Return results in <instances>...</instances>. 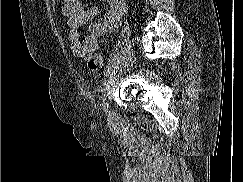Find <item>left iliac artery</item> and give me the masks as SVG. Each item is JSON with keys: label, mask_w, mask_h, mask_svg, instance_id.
<instances>
[{"label": "left iliac artery", "mask_w": 243, "mask_h": 182, "mask_svg": "<svg viewBox=\"0 0 243 182\" xmlns=\"http://www.w3.org/2000/svg\"><path fill=\"white\" fill-rule=\"evenodd\" d=\"M102 107L105 110V112H107L108 109V103L106 101V92L104 91L102 94Z\"/></svg>", "instance_id": "1"}]
</instances>
